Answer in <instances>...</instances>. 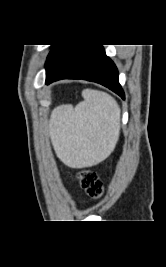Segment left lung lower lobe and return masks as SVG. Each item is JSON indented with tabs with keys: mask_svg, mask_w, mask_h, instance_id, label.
<instances>
[{
	"mask_svg": "<svg viewBox=\"0 0 166 267\" xmlns=\"http://www.w3.org/2000/svg\"><path fill=\"white\" fill-rule=\"evenodd\" d=\"M60 79L97 82L125 98L117 68L102 45H54L46 61V84Z\"/></svg>",
	"mask_w": 166,
	"mask_h": 267,
	"instance_id": "0a47b994",
	"label": "left lung lower lobe"
}]
</instances>
